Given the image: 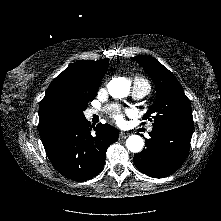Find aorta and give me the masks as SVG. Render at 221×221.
<instances>
[{"mask_svg":"<svg viewBox=\"0 0 221 221\" xmlns=\"http://www.w3.org/2000/svg\"><path fill=\"white\" fill-rule=\"evenodd\" d=\"M108 92L114 98H124L129 95L130 81L124 77L112 79L108 84ZM144 141L139 135H131L126 140V147L129 151L138 153L142 151Z\"/></svg>","mask_w":221,"mask_h":221,"instance_id":"1","label":"aorta"}]
</instances>
